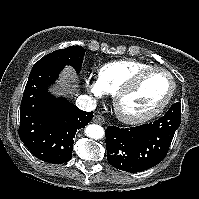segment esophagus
Returning <instances> with one entry per match:
<instances>
[{"label": "esophagus", "mask_w": 199, "mask_h": 199, "mask_svg": "<svg viewBox=\"0 0 199 199\" xmlns=\"http://www.w3.org/2000/svg\"><path fill=\"white\" fill-rule=\"evenodd\" d=\"M93 122L96 123V124L103 125V124H105V119L102 116H100V115H95L93 117Z\"/></svg>", "instance_id": "esophagus-1"}]
</instances>
